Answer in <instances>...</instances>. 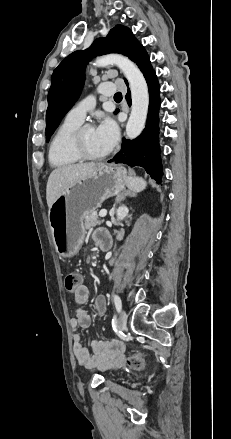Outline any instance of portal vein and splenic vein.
<instances>
[{"instance_id":"portal-vein-and-splenic-vein-1","label":"portal vein and splenic vein","mask_w":231,"mask_h":439,"mask_svg":"<svg viewBox=\"0 0 231 439\" xmlns=\"http://www.w3.org/2000/svg\"><path fill=\"white\" fill-rule=\"evenodd\" d=\"M107 215V210L103 209L99 212L100 217H105Z\"/></svg>"}]
</instances>
